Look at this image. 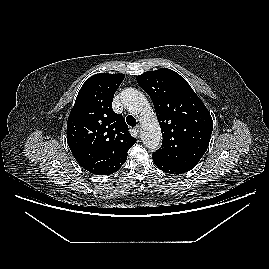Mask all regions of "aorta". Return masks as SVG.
I'll use <instances>...</instances> for the list:
<instances>
[{
	"mask_svg": "<svg viewBox=\"0 0 269 269\" xmlns=\"http://www.w3.org/2000/svg\"><path fill=\"white\" fill-rule=\"evenodd\" d=\"M121 100L127 110L140 120L144 145L150 150H157L162 138L161 129L146 97L136 89L127 88L121 92Z\"/></svg>",
	"mask_w": 269,
	"mask_h": 269,
	"instance_id": "aorta-1",
	"label": "aorta"
}]
</instances>
